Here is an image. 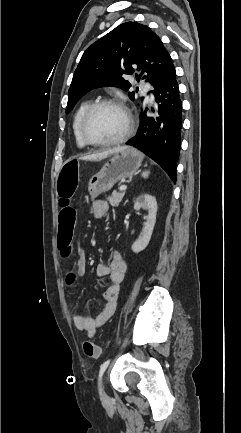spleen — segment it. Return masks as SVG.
Instances as JSON below:
<instances>
[{
  "label": "spleen",
  "mask_w": 241,
  "mask_h": 433,
  "mask_svg": "<svg viewBox=\"0 0 241 433\" xmlns=\"http://www.w3.org/2000/svg\"><path fill=\"white\" fill-rule=\"evenodd\" d=\"M149 176V171L142 172V177L147 178Z\"/></svg>",
  "instance_id": "1"
}]
</instances>
